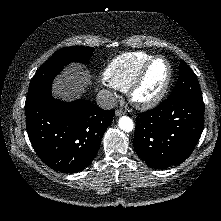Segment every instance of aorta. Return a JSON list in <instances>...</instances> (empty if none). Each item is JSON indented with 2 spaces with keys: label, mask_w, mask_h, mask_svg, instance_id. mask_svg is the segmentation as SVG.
<instances>
[{
  "label": "aorta",
  "mask_w": 221,
  "mask_h": 221,
  "mask_svg": "<svg viewBox=\"0 0 221 221\" xmlns=\"http://www.w3.org/2000/svg\"><path fill=\"white\" fill-rule=\"evenodd\" d=\"M119 128L124 132H131L134 129L133 120L128 116H122L118 121Z\"/></svg>",
  "instance_id": "obj_1"
}]
</instances>
